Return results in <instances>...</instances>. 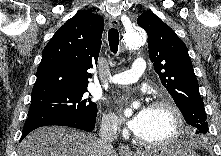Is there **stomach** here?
Returning a JSON list of instances; mask_svg holds the SVG:
<instances>
[{
	"label": "stomach",
	"instance_id": "0dacf381",
	"mask_svg": "<svg viewBox=\"0 0 221 156\" xmlns=\"http://www.w3.org/2000/svg\"><path fill=\"white\" fill-rule=\"evenodd\" d=\"M146 156H198V154L182 144H170L152 151Z\"/></svg>",
	"mask_w": 221,
	"mask_h": 156
}]
</instances>
